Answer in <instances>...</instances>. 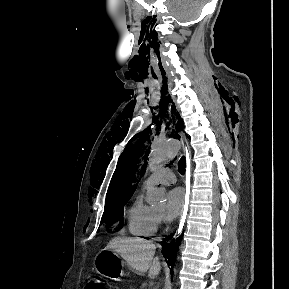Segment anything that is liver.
Wrapping results in <instances>:
<instances>
[{"label": "liver", "mask_w": 289, "mask_h": 289, "mask_svg": "<svg viewBox=\"0 0 289 289\" xmlns=\"http://www.w3.org/2000/svg\"><path fill=\"white\" fill-rule=\"evenodd\" d=\"M105 250L115 251L140 274L148 271L150 278H155L161 270L159 259L154 258L155 245L143 239L115 238Z\"/></svg>", "instance_id": "obj_1"}]
</instances>
